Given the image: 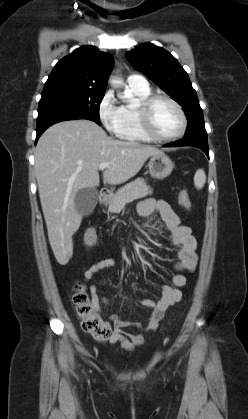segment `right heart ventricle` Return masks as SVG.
<instances>
[{"mask_svg": "<svg viewBox=\"0 0 248 419\" xmlns=\"http://www.w3.org/2000/svg\"><path fill=\"white\" fill-rule=\"evenodd\" d=\"M130 92L142 101L150 96L151 92L149 87L146 89H136L129 87ZM123 108V125L119 134V137L127 141L135 142H148L150 141L140 129V125L137 118L136 109L137 107L122 106Z\"/></svg>", "mask_w": 248, "mask_h": 419, "instance_id": "1", "label": "right heart ventricle"}]
</instances>
